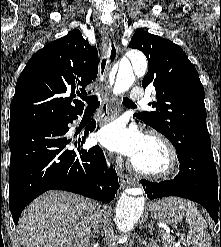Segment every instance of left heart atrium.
Segmentation results:
<instances>
[{
	"mask_svg": "<svg viewBox=\"0 0 221 247\" xmlns=\"http://www.w3.org/2000/svg\"><path fill=\"white\" fill-rule=\"evenodd\" d=\"M146 138L137 126L127 125L124 120L105 125L97 134V140L102 146L131 160L140 152Z\"/></svg>",
	"mask_w": 221,
	"mask_h": 247,
	"instance_id": "obj_1",
	"label": "left heart atrium"
}]
</instances>
